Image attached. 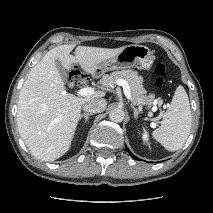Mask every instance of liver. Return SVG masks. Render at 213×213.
Here are the masks:
<instances>
[{"label":"liver","mask_w":213,"mask_h":213,"mask_svg":"<svg viewBox=\"0 0 213 213\" xmlns=\"http://www.w3.org/2000/svg\"><path fill=\"white\" fill-rule=\"evenodd\" d=\"M74 47L61 45L48 51L30 70L20 90L17 128L32 155L43 161H54L69 150L84 103L105 96L104 91L84 98L63 94L64 81L55 61L59 60L66 70L78 64L94 75L100 63L116 56L125 46L115 49L78 46L73 56L70 53Z\"/></svg>","instance_id":"1"}]
</instances>
